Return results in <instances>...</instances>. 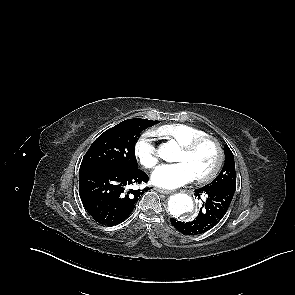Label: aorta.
<instances>
[{
  "mask_svg": "<svg viewBox=\"0 0 295 295\" xmlns=\"http://www.w3.org/2000/svg\"><path fill=\"white\" fill-rule=\"evenodd\" d=\"M179 151V146L175 141L163 144L159 149V157L165 161H173L175 153ZM194 210V202L190 195L177 193L170 196L168 200V211L175 218H181L191 214Z\"/></svg>",
  "mask_w": 295,
  "mask_h": 295,
  "instance_id": "aorta-1",
  "label": "aorta"
}]
</instances>
